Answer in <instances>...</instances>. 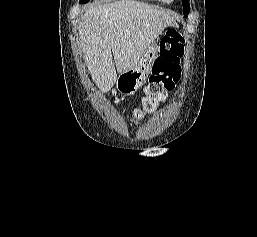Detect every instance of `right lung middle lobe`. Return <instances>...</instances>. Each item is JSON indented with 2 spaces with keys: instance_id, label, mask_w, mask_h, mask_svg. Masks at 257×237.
<instances>
[{
  "instance_id": "obj_1",
  "label": "right lung middle lobe",
  "mask_w": 257,
  "mask_h": 237,
  "mask_svg": "<svg viewBox=\"0 0 257 237\" xmlns=\"http://www.w3.org/2000/svg\"><path fill=\"white\" fill-rule=\"evenodd\" d=\"M89 0H80V3H86L88 2Z\"/></svg>"
}]
</instances>
